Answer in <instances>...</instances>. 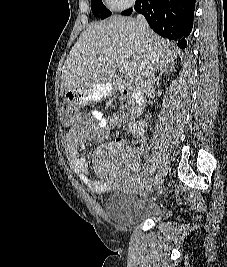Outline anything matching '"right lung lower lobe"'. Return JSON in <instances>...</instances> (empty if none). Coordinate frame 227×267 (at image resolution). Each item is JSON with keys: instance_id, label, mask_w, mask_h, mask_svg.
Masks as SVG:
<instances>
[{"instance_id": "right-lung-lower-lobe-1", "label": "right lung lower lobe", "mask_w": 227, "mask_h": 267, "mask_svg": "<svg viewBox=\"0 0 227 267\" xmlns=\"http://www.w3.org/2000/svg\"><path fill=\"white\" fill-rule=\"evenodd\" d=\"M134 9L143 14L149 26L159 35L175 40L185 48L193 26L195 0H136ZM132 8L122 15H131Z\"/></svg>"}]
</instances>
